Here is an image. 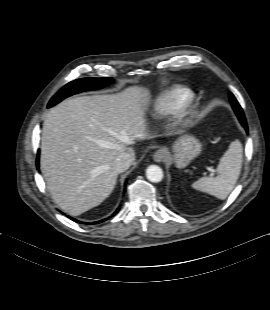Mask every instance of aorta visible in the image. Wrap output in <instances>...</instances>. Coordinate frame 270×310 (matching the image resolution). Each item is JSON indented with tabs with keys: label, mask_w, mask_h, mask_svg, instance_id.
<instances>
[{
	"label": "aorta",
	"mask_w": 270,
	"mask_h": 310,
	"mask_svg": "<svg viewBox=\"0 0 270 310\" xmlns=\"http://www.w3.org/2000/svg\"><path fill=\"white\" fill-rule=\"evenodd\" d=\"M146 177L149 181L158 183L162 181L163 179V171L162 169L157 165H150L146 169Z\"/></svg>",
	"instance_id": "762f6f07"
}]
</instances>
